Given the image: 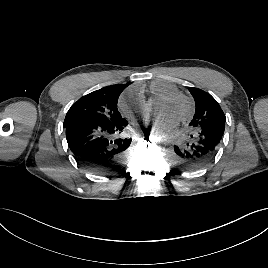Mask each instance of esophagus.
Instances as JSON below:
<instances>
[{
    "mask_svg": "<svg viewBox=\"0 0 268 268\" xmlns=\"http://www.w3.org/2000/svg\"><path fill=\"white\" fill-rule=\"evenodd\" d=\"M138 134H139V135H143V131H142V130H139V131H138Z\"/></svg>",
    "mask_w": 268,
    "mask_h": 268,
    "instance_id": "34e87169",
    "label": "esophagus"
}]
</instances>
